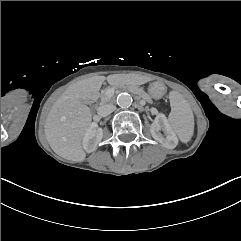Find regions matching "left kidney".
Returning a JSON list of instances; mask_svg holds the SVG:
<instances>
[{
  "label": "left kidney",
  "mask_w": 241,
  "mask_h": 241,
  "mask_svg": "<svg viewBox=\"0 0 241 241\" xmlns=\"http://www.w3.org/2000/svg\"><path fill=\"white\" fill-rule=\"evenodd\" d=\"M161 130L164 135L161 134ZM152 137L161 143L165 148L174 149L178 144V138L173 132L164 114L156 116L150 127Z\"/></svg>",
  "instance_id": "obj_1"
}]
</instances>
